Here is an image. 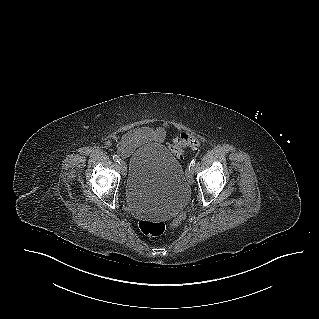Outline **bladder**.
<instances>
[{
    "instance_id": "1",
    "label": "bladder",
    "mask_w": 319,
    "mask_h": 319,
    "mask_svg": "<svg viewBox=\"0 0 319 319\" xmlns=\"http://www.w3.org/2000/svg\"><path fill=\"white\" fill-rule=\"evenodd\" d=\"M125 198L144 217H166L180 210L189 198L186 173L162 144L139 148L126 169Z\"/></svg>"
}]
</instances>
